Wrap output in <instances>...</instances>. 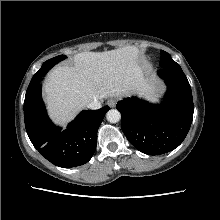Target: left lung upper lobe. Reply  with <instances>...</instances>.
<instances>
[{
  "label": "left lung upper lobe",
  "instance_id": "obj_1",
  "mask_svg": "<svg viewBox=\"0 0 220 220\" xmlns=\"http://www.w3.org/2000/svg\"><path fill=\"white\" fill-rule=\"evenodd\" d=\"M160 66L162 68H181L180 65L172 60L171 56L163 50H161Z\"/></svg>",
  "mask_w": 220,
  "mask_h": 220
}]
</instances>
